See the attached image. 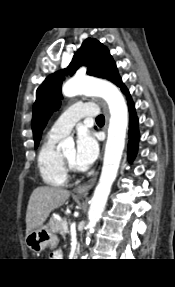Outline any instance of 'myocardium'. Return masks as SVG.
Masks as SVG:
<instances>
[{
    "mask_svg": "<svg viewBox=\"0 0 175 287\" xmlns=\"http://www.w3.org/2000/svg\"><path fill=\"white\" fill-rule=\"evenodd\" d=\"M61 158H62L63 164H64L67 172H76V171H78L77 165L74 164L73 162H71L70 160H68L63 153H61Z\"/></svg>",
    "mask_w": 175,
    "mask_h": 287,
    "instance_id": "f54148a6",
    "label": "myocardium"
}]
</instances>
